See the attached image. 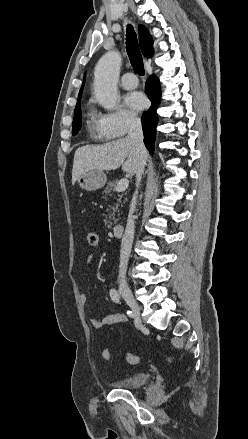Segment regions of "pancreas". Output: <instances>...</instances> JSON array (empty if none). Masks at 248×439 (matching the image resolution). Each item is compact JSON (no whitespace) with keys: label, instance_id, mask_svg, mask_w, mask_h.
Here are the masks:
<instances>
[{"label":"pancreas","instance_id":"obj_1","mask_svg":"<svg viewBox=\"0 0 248 439\" xmlns=\"http://www.w3.org/2000/svg\"><path fill=\"white\" fill-rule=\"evenodd\" d=\"M117 184H118V180L110 181L108 183L107 187L104 189L103 193H105V194L111 193L112 189H115ZM117 202L118 203H115L116 207H113L114 212H116V210L119 206V203H121V198L117 199ZM111 216H113V218H114V214H112ZM105 224L107 225L108 228H111V226L113 225V223H111L109 221H106ZM114 224H116V220L114 221Z\"/></svg>","mask_w":248,"mask_h":439}]
</instances>
